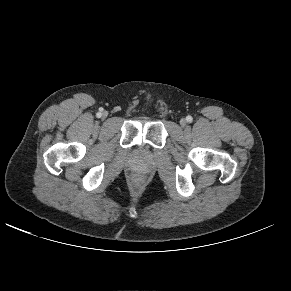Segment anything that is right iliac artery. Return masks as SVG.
<instances>
[{
    "mask_svg": "<svg viewBox=\"0 0 291 291\" xmlns=\"http://www.w3.org/2000/svg\"><path fill=\"white\" fill-rule=\"evenodd\" d=\"M97 115H98V116H101V113H98Z\"/></svg>",
    "mask_w": 291,
    "mask_h": 291,
    "instance_id": "obj_1",
    "label": "right iliac artery"
}]
</instances>
